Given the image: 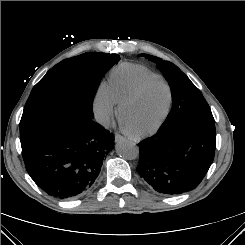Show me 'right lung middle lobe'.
<instances>
[{
  "label": "right lung middle lobe",
  "mask_w": 245,
  "mask_h": 245,
  "mask_svg": "<svg viewBox=\"0 0 245 245\" xmlns=\"http://www.w3.org/2000/svg\"><path fill=\"white\" fill-rule=\"evenodd\" d=\"M120 60L117 54L88 52L65 59L34 86L20 121L24 143L62 123L91 120L102 76Z\"/></svg>",
  "instance_id": "obj_1"
}]
</instances>
